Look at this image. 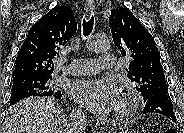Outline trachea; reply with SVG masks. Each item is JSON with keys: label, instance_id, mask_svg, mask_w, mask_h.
I'll use <instances>...</instances> for the list:
<instances>
[{"label": "trachea", "instance_id": "trachea-1", "mask_svg": "<svg viewBox=\"0 0 184 133\" xmlns=\"http://www.w3.org/2000/svg\"><path fill=\"white\" fill-rule=\"evenodd\" d=\"M93 25H94V17L91 16L90 19L86 20L85 18L83 19V35L86 37L88 36L92 30H93Z\"/></svg>", "mask_w": 184, "mask_h": 133}]
</instances>
